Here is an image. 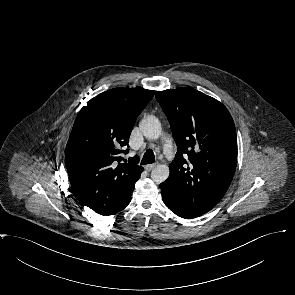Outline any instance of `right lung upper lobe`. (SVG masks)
I'll list each match as a JSON object with an SVG mask.
<instances>
[{
  "mask_svg": "<svg viewBox=\"0 0 295 295\" xmlns=\"http://www.w3.org/2000/svg\"><path fill=\"white\" fill-rule=\"evenodd\" d=\"M154 91L114 88L87 102L74 122L65 162L72 191L98 214L119 207L143 171L138 159L121 163L137 116Z\"/></svg>",
  "mask_w": 295,
  "mask_h": 295,
  "instance_id": "cb5924a9",
  "label": "right lung upper lobe"
}]
</instances>
